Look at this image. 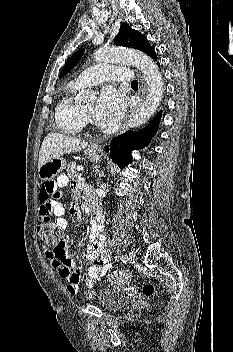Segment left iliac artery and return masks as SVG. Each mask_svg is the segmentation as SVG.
<instances>
[{"label": "left iliac artery", "instance_id": "left-iliac-artery-1", "mask_svg": "<svg viewBox=\"0 0 233 352\" xmlns=\"http://www.w3.org/2000/svg\"><path fill=\"white\" fill-rule=\"evenodd\" d=\"M121 261L123 262V263H126L127 261H128V256L125 254V255H122L121 256Z\"/></svg>", "mask_w": 233, "mask_h": 352}]
</instances>
